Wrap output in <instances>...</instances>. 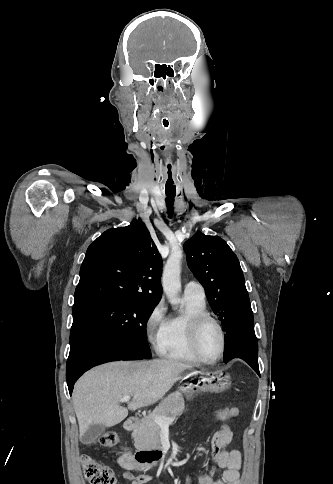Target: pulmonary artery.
<instances>
[{"label":"pulmonary artery","instance_id":"pulmonary-artery-1","mask_svg":"<svg viewBox=\"0 0 333 484\" xmlns=\"http://www.w3.org/2000/svg\"><path fill=\"white\" fill-rule=\"evenodd\" d=\"M184 296L205 301V290L200 283L189 281L184 286Z\"/></svg>","mask_w":333,"mask_h":484}]
</instances>
